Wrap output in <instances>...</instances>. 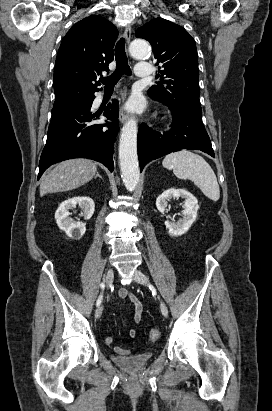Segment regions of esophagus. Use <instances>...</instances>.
Returning <instances> with one entry per match:
<instances>
[{
	"label": "esophagus",
	"mask_w": 272,
	"mask_h": 411,
	"mask_svg": "<svg viewBox=\"0 0 272 411\" xmlns=\"http://www.w3.org/2000/svg\"><path fill=\"white\" fill-rule=\"evenodd\" d=\"M124 37H125L126 42H127V44H128V43L130 42V40H131V26H130V25H127V26L125 27ZM127 119H128V114L125 113L123 110H121V111H120V114H119V120H120V122H121V123H124V122H126Z\"/></svg>",
	"instance_id": "esophagus-1"
}]
</instances>
